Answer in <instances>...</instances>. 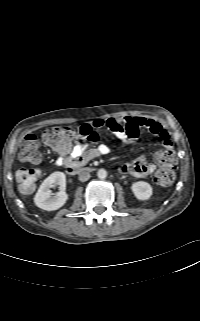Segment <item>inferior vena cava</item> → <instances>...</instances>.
Listing matches in <instances>:
<instances>
[{"label": "inferior vena cava", "mask_w": 200, "mask_h": 321, "mask_svg": "<svg viewBox=\"0 0 200 321\" xmlns=\"http://www.w3.org/2000/svg\"><path fill=\"white\" fill-rule=\"evenodd\" d=\"M89 178H90V173L87 172V171H82V172L79 174V180H80L81 182H85V181H87Z\"/></svg>", "instance_id": "obj_1"}]
</instances>
